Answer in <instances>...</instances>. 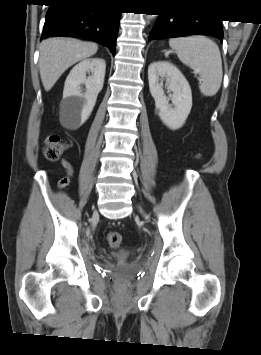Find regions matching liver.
Here are the masks:
<instances>
[{
  "instance_id": "1",
  "label": "liver",
  "mask_w": 261,
  "mask_h": 355,
  "mask_svg": "<svg viewBox=\"0 0 261 355\" xmlns=\"http://www.w3.org/2000/svg\"><path fill=\"white\" fill-rule=\"evenodd\" d=\"M39 71L46 91L73 64L94 55L98 46L72 38H50L40 44Z\"/></svg>"
}]
</instances>
